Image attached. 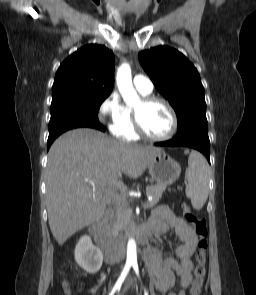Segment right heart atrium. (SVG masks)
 <instances>
[{
    "mask_svg": "<svg viewBox=\"0 0 256 295\" xmlns=\"http://www.w3.org/2000/svg\"><path fill=\"white\" fill-rule=\"evenodd\" d=\"M99 117L107 123L113 133L118 132L126 123L127 116L119 95L112 92L100 105Z\"/></svg>",
    "mask_w": 256,
    "mask_h": 295,
    "instance_id": "right-heart-atrium-1",
    "label": "right heart atrium"
}]
</instances>
